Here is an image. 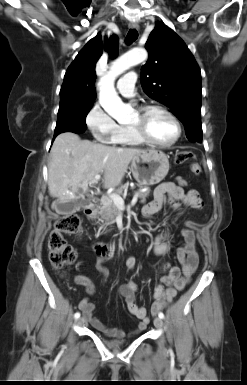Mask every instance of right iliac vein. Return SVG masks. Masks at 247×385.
I'll return each mask as SVG.
<instances>
[{"instance_id": "63e3f726", "label": "right iliac vein", "mask_w": 247, "mask_h": 385, "mask_svg": "<svg viewBox=\"0 0 247 385\" xmlns=\"http://www.w3.org/2000/svg\"><path fill=\"white\" fill-rule=\"evenodd\" d=\"M83 323H84V318L83 317H81V318L76 320V324L77 325H82Z\"/></svg>"}]
</instances>
